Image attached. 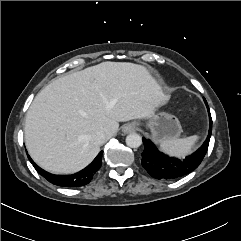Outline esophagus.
Wrapping results in <instances>:
<instances>
[{
	"instance_id": "34e87169",
	"label": "esophagus",
	"mask_w": 241,
	"mask_h": 241,
	"mask_svg": "<svg viewBox=\"0 0 241 241\" xmlns=\"http://www.w3.org/2000/svg\"><path fill=\"white\" fill-rule=\"evenodd\" d=\"M137 127L134 123H127L125 125H123L122 127V132L125 134L131 133L136 131Z\"/></svg>"
}]
</instances>
